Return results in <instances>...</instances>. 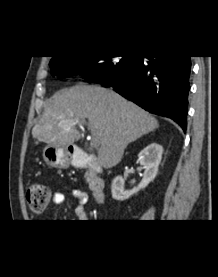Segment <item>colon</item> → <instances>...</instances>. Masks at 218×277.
Segmentation results:
<instances>
[{
	"label": "colon",
	"mask_w": 218,
	"mask_h": 277,
	"mask_svg": "<svg viewBox=\"0 0 218 277\" xmlns=\"http://www.w3.org/2000/svg\"><path fill=\"white\" fill-rule=\"evenodd\" d=\"M50 195V189L44 184L29 186L26 192L29 208L35 213L43 212L49 203Z\"/></svg>",
	"instance_id": "obj_1"
}]
</instances>
